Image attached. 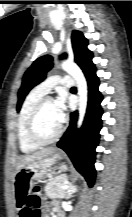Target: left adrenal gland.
<instances>
[{
  "instance_id": "left-adrenal-gland-1",
  "label": "left adrenal gland",
  "mask_w": 132,
  "mask_h": 217,
  "mask_svg": "<svg viewBox=\"0 0 132 217\" xmlns=\"http://www.w3.org/2000/svg\"><path fill=\"white\" fill-rule=\"evenodd\" d=\"M76 191H77V186H76V185H73V184H70L69 189H68V191H67L66 198L69 199V198L72 196V194H73L74 192H76Z\"/></svg>"
}]
</instances>
